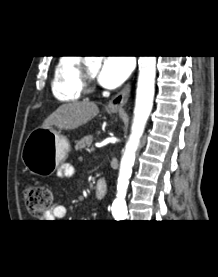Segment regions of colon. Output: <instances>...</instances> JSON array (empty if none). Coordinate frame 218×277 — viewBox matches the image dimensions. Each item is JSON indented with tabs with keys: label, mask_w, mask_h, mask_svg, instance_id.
I'll use <instances>...</instances> for the list:
<instances>
[{
	"label": "colon",
	"mask_w": 218,
	"mask_h": 277,
	"mask_svg": "<svg viewBox=\"0 0 218 277\" xmlns=\"http://www.w3.org/2000/svg\"><path fill=\"white\" fill-rule=\"evenodd\" d=\"M53 200L52 190L44 185H32L25 189V205L33 216H43Z\"/></svg>",
	"instance_id": "colon-1"
}]
</instances>
